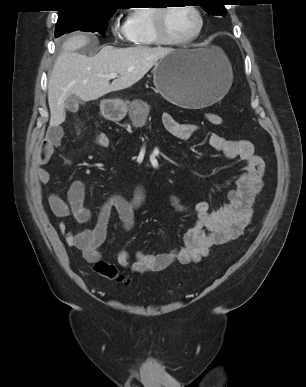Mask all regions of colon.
Returning <instances> with one entry per match:
<instances>
[{
  "label": "colon",
  "mask_w": 306,
  "mask_h": 387,
  "mask_svg": "<svg viewBox=\"0 0 306 387\" xmlns=\"http://www.w3.org/2000/svg\"><path fill=\"white\" fill-rule=\"evenodd\" d=\"M208 121L213 125H222L223 118L216 113L207 114ZM95 143L102 148H107L110 145V138L105 133H99L95 137ZM94 270L100 275L122 285H129L130 279L120 274L115 265L99 260L94 264Z\"/></svg>",
  "instance_id": "obj_1"
}]
</instances>
